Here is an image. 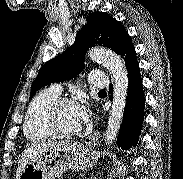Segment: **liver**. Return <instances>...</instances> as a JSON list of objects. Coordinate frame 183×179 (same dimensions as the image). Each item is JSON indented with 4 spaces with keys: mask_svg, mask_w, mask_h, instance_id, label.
<instances>
[{
    "mask_svg": "<svg viewBox=\"0 0 183 179\" xmlns=\"http://www.w3.org/2000/svg\"><path fill=\"white\" fill-rule=\"evenodd\" d=\"M58 144L57 142H48L43 144H37L25 149L19 160V164L16 170V179H19L20 174L24 168L34 161L36 158L40 157L48 148Z\"/></svg>",
    "mask_w": 183,
    "mask_h": 179,
    "instance_id": "6515ba94",
    "label": "liver"
}]
</instances>
